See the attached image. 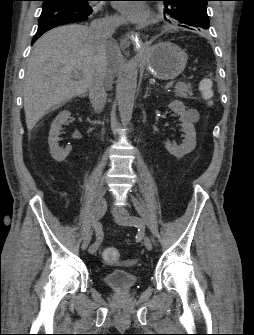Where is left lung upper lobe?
Wrapping results in <instances>:
<instances>
[{
  "mask_svg": "<svg viewBox=\"0 0 254 335\" xmlns=\"http://www.w3.org/2000/svg\"><path fill=\"white\" fill-rule=\"evenodd\" d=\"M174 22L186 28L208 29L206 7L209 0H161Z\"/></svg>",
  "mask_w": 254,
  "mask_h": 335,
  "instance_id": "1",
  "label": "left lung upper lobe"
}]
</instances>
